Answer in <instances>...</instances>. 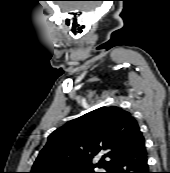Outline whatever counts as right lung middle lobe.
<instances>
[{"label": "right lung middle lobe", "instance_id": "dd1d6c3e", "mask_svg": "<svg viewBox=\"0 0 170 173\" xmlns=\"http://www.w3.org/2000/svg\"><path fill=\"white\" fill-rule=\"evenodd\" d=\"M70 173H96L94 168L70 171Z\"/></svg>", "mask_w": 170, "mask_h": 173}]
</instances>
